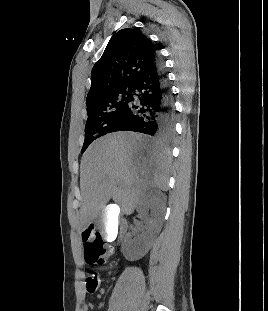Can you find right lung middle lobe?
<instances>
[{"label": "right lung middle lobe", "mask_w": 268, "mask_h": 311, "mask_svg": "<svg viewBox=\"0 0 268 311\" xmlns=\"http://www.w3.org/2000/svg\"><path fill=\"white\" fill-rule=\"evenodd\" d=\"M131 95L132 88L126 87L109 94L87 107L88 118L85 125V140L81 153L94 140L109 133L114 123L129 104Z\"/></svg>", "instance_id": "dd1d6c3e"}]
</instances>
